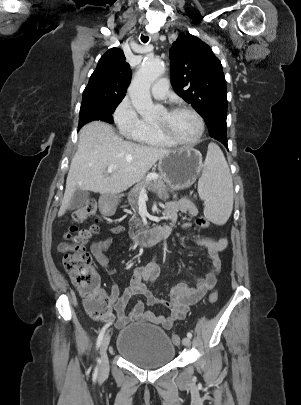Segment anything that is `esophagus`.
Returning a JSON list of instances; mask_svg holds the SVG:
<instances>
[{
  "label": "esophagus",
  "mask_w": 301,
  "mask_h": 405,
  "mask_svg": "<svg viewBox=\"0 0 301 405\" xmlns=\"http://www.w3.org/2000/svg\"><path fill=\"white\" fill-rule=\"evenodd\" d=\"M148 36L153 41H156L158 39V34H156V33L148 34Z\"/></svg>",
  "instance_id": "34e87169"
}]
</instances>
